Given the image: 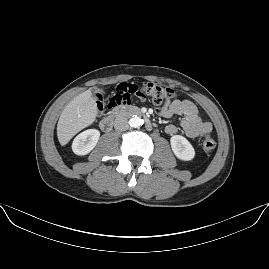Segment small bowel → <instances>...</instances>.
I'll return each instance as SVG.
<instances>
[{"label": "small bowel", "instance_id": "c3829d8e", "mask_svg": "<svg viewBox=\"0 0 269 269\" xmlns=\"http://www.w3.org/2000/svg\"><path fill=\"white\" fill-rule=\"evenodd\" d=\"M160 115L165 118L180 116L181 128L189 138H200L212 131L211 123L203 121L196 105L187 99H175L166 103L160 109ZM166 132L173 135L177 132V127L170 124L166 127Z\"/></svg>", "mask_w": 269, "mask_h": 269}]
</instances>
